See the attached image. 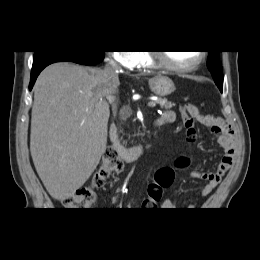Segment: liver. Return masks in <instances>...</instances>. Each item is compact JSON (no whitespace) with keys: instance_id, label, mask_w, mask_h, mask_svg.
<instances>
[{"instance_id":"obj_1","label":"liver","mask_w":260,"mask_h":260,"mask_svg":"<svg viewBox=\"0 0 260 260\" xmlns=\"http://www.w3.org/2000/svg\"><path fill=\"white\" fill-rule=\"evenodd\" d=\"M118 80L68 62L46 67L34 85L30 152L48 193L65 200L82 187L106 150L109 105Z\"/></svg>"}]
</instances>
